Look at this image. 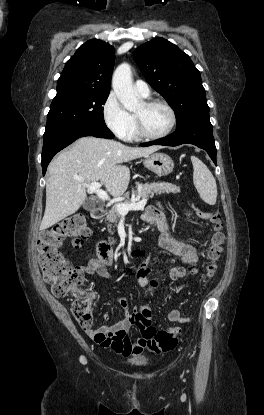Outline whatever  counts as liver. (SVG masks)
Here are the masks:
<instances>
[{"instance_id": "6515ba94", "label": "liver", "mask_w": 264, "mask_h": 415, "mask_svg": "<svg viewBox=\"0 0 264 415\" xmlns=\"http://www.w3.org/2000/svg\"><path fill=\"white\" fill-rule=\"evenodd\" d=\"M160 146L130 147L96 137H82L50 163L46 208L40 225L45 230L75 213L86 200V185L100 181L113 196L124 194L130 170L122 163L148 156Z\"/></svg>"}]
</instances>
